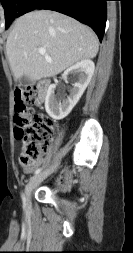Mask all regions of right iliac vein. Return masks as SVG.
I'll list each match as a JSON object with an SVG mask.
<instances>
[{"label": "right iliac vein", "mask_w": 133, "mask_h": 253, "mask_svg": "<svg viewBox=\"0 0 133 253\" xmlns=\"http://www.w3.org/2000/svg\"><path fill=\"white\" fill-rule=\"evenodd\" d=\"M58 164H55L51 166L50 168L46 169L44 172L34 176L29 183L25 187V200H26V206H30V196L32 190L45 178H47L51 173L54 172V170L57 168Z\"/></svg>", "instance_id": "63e3f726"}]
</instances>
